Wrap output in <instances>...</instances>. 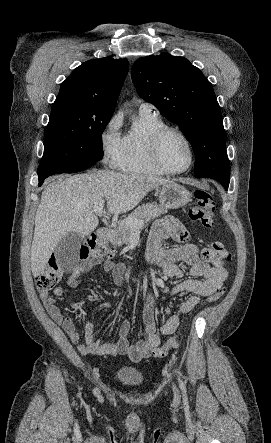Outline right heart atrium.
<instances>
[{"label":"right heart atrium","instance_id":"d8ad5b80","mask_svg":"<svg viewBox=\"0 0 271 443\" xmlns=\"http://www.w3.org/2000/svg\"><path fill=\"white\" fill-rule=\"evenodd\" d=\"M122 124L123 114L117 111L105 122L100 132L103 157L113 166L118 165L123 150Z\"/></svg>","mask_w":271,"mask_h":443}]
</instances>
